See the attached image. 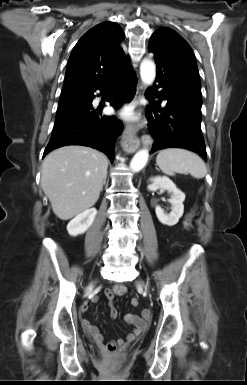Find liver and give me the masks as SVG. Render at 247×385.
I'll return each instance as SVG.
<instances>
[{
    "label": "liver",
    "instance_id": "liver-1",
    "mask_svg": "<svg viewBox=\"0 0 247 385\" xmlns=\"http://www.w3.org/2000/svg\"><path fill=\"white\" fill-rule=\"evenodd\" d=\"M106 156L90 147L69 145L44 159L41 186L54 214L69 220L92 207L107 176Z\"/></svg>",
    "mask_w": 247,
    "mask_h": 385
}]
</instances>
